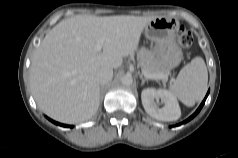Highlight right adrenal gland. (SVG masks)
I'll list each match as a JSON object with an SVG mask.
<instances>
[{
	"instance_id": "obj_1",
	"label": "right adrenal gland",
	"mask_w": 238,
	"mask_h": 158,
	"mask_svg": "<svg viewBox=\"0 0 238 158\" xmlns=\"http://www.w3.org/2000/svg\"><path fill=\"white\" fill-rule=\"evenodd\" d=\"M101 96H102V94H103V89H104V86H101Z\"/></svg>"
}]
</instances>
